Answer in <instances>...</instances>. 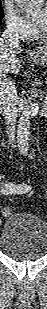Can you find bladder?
<instances>
[{"instance_id": "1", "label": "bladder", "mask_w": 47, "mask_h": 309, "mask_svg": "<svg viewBox=\"0 0 47 309\" xmlns=\"http://www.w3.org/2000/svg\"><path fill=\"white\" fill-rule=\"evenodd\" d=\"M0 247L11 258L42 257L47 251V225L30 213L12 214L2 227Z\"/></svg>"}]
</instances>
